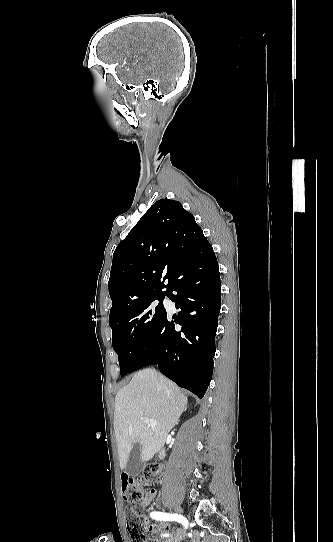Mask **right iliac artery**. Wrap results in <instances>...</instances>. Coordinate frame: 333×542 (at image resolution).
<instances>
[{
    "mask_svg": "<svg viewBox=\"0 0 333 542\" xmlns=\"http://www.w3.org/2000/svg\"><path fill=\"white\" fill-rule=\"evenodd\" d=\"M150 516L153 519L160 520V521H177L179 523H182L186 528L188 526V521L186 518H184L181 515L178 514H169V513H163V512H152L150 513ZM163 536L168 537L169 534H164Z\"/></svg>",
    "mask_w": 333,
    "mask_h": 542,
    "instance_id": "obj_1",
    "label": "right iliac artery"
}]
</instances>
